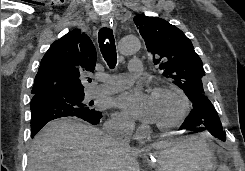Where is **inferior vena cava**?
Masks as SVG:
<instances>
[{
    "mask_svg": "<svg viewBox=\"0 0 245 171\" xmlns=\"http://www.w3.org/2000/svg\"><path fill=\"white\" fill-rule=\"evenodd\" d=\"M104 130L113 136L118 146L128 148L131 137V125L125 122L106 123Z\"/></svg>",
    "mask_w": 245,
    "mask_h": 171,
    "instance_id": "602c4592",
    "label": "inferior vena cava"
}]
</instances>
